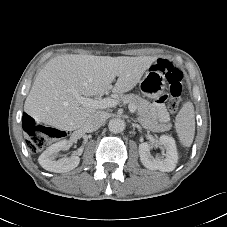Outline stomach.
I'll use <instances>...</instances> for the list:
<instances>
[{"instance_id":"stomach-1","label":"stomach","mask_w":227,"mask_h":227,"mask_svg":"<svg viewBox=\"0 0 227 227\" xmlns=\"http://www.w3.org/2000/svg\"><path fill=\"white\" fill-rule=\"evenodd\" d=\"M139 89L141 93L150 98L156 99L164 92L165 89V79L162 73L150 68L139 82Z\"/></svg>"}]
</instances>
